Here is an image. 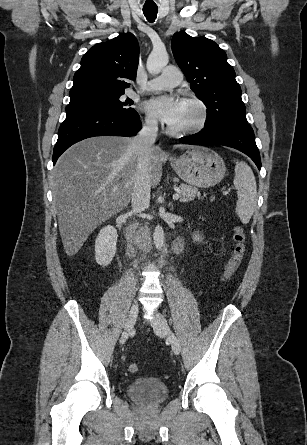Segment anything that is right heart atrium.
Wrapping results in <instances>:
<instances>
[{"label":"right heart atrium","instance_id":"d8ad5b80","mask_svg":"<svg viewBox=\"0 0 307 445\" xmlns=\"http://www.w3.org/2000/svg\"><path fill=\"white\" fill-rule=\"evenodd\" d=\"M146 126L150 129H155L158 126L157 118L153 114H148L145 120Z\"/></svg>","mask_w":307,"mask_h":445}]
</instances>
